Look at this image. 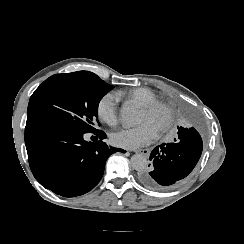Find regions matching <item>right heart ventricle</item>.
Returning a JSON list of instances; mask_svg holds the SVG:
<instances>
[{
    "label": "right heart ventricle",
    "mask_w": 244,
    "mask_h": 244,
    "mask_svg": "<svg viewBox=\"0 0 244 244\" xmlns=\"http://www.w3.org/2000/svg\"><path fill=\"white\" fill-rule=\"evenodd\" d=\"M117 98H127L138 102L141 105L157 102L155 94L148 88L139 87L126 90H119Z\"/></svg>",
    "instance_id": "e07e8e85"
}]
</instances>
